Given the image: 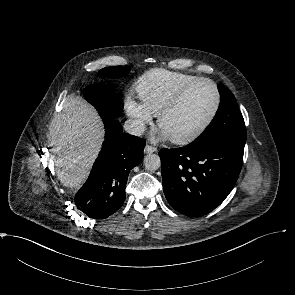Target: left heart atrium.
I'll return each instance as SVG.
<instances>
[{
	"instance_id": "obj_1",
	"label": "left heart atrium",
	"mask_w": 295,
	"mask_h": 295,
	"mask_svg": "<svg viewBox=\"0 0 295 295\" xmlns=\"http://www.w3.org/2000/svg\"><path fill=\"white\" fill-rule=\"evenodd\" d=\"M158 139L159 140H167V139H171V138L164 130L161 129L159 132V135H158Z\"/></svg>"
}]
</instances>
